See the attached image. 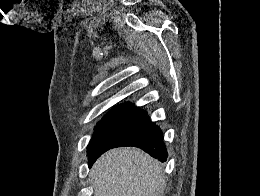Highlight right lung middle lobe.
<instances>
[{"label":"right lung middle lobe","mask_w":260,"mask_h":196,"mask_svg":"<svg viewBox=\"0 0 260 196\" xmlns=\"http://www.w3.org/2000/svg\"><path fill=\"white\" fill-rule=\"evenodd\" d=\"M149 124L151 121L144 110L133 105H119L98 122L88 150L113 148Z\"/></svg>","instance_id":"1"}]
</instances>
